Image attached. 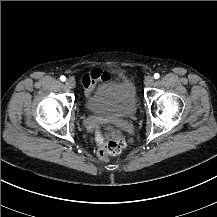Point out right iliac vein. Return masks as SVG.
<instances>
[{"label": "right iliac vein", "mask_w": 217, "mask_h": 217, "mask_svg": "<svg viewBox=\"0 0 217 217\" xmlns=\"http://www.w3.org/2000/svg\"><path fill=\"white\" fill-rule=\"evenodd\" d=\"M65 85H66L68 88L73 89V88H75V86H76V82H75L74 79L69 78V79L66 80Z\"/></svg>", "instance_id": "right-iliac-vein-1"}]
</instances>
